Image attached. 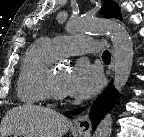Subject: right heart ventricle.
<instances>
[{
	"mask_svg": "<svg viewBox=\"0 0 144 137\" xmlns=\"http://www.w3.org/2000/svg\"><path fill=\"white\" fill-rule=\"evenodd\" d=\"M59 57L53 43L35 42L26 52L17 81V96L25 104H43L49 100L45 81L53 62Z\"/></svg>",
	"mask_w": 144,
	"mask_h": 137,
	"instance_id": "obj_1",
	"label": "right heart ventricle"
}]
</instances>
